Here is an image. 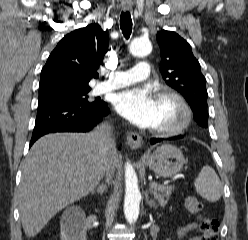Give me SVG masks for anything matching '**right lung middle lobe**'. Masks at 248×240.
Listing matches in <instances>:
<instances>
[{"label":"right lung middle lobe","instance_id":"obj_1","mask_svg":"<svg viewBox=\"0 0 248 240\" xmlns=\"http://www.w3.org/2000/svg\"><path fill=\"white\" fill-rule=\"evenodd\" d=\"M87 92L79 93V94H74V95H66V96H60V97H54V98H48V99H39V103L43 102H53V101H64V102H70L74 104H79V105H90V104H95V102H89L87 100Z\"/></svg>","mask_w":248,"mask_h":240}]
</instances>
